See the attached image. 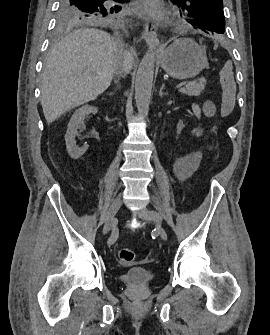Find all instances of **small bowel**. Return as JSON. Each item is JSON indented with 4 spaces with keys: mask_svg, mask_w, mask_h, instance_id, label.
I'll list each match as a JSON object with an SVG mask.
<instances>
[{
    "mask_svg": "<svg viewBox=\"0 0 270 335\" xmlns=\"http://www.w3.org/2000/svg\"><path fill=\"white\" fill-rule=\"evenodd\" d=\"M202 159V152L196 150L192 152L189 156L184 159H181L177 162L175 166L176 175L183 179L193 171L197 169Z\"/></svg>",
    "mask_w": 270,
    "mask_h": 335,
    "instance_id": "c3829d8e",
    "label": "small bowel"
}]
</instances>
